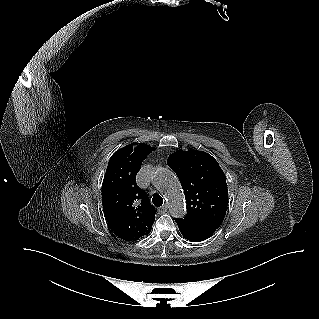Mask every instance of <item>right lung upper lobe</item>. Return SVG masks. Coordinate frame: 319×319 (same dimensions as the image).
<instances>
[{"mask_svg": "<svg viewBox=\"0 0 319 319\" xmlns=\"http://www.w3.org/2000/svg\"><path fill=\"white\" fill-rule=\"evenodd\" d=\"M151 152L146 144H129L116 151L102 183V205L110 228L121 239L136 241L151 231L155 208L136 184L142 161Z\"/></svg>", "mask_w": 319, "mask_h": 319, "instance_id": "cb5924a9", "label": "right lung upper lobe"}]
</instances>
